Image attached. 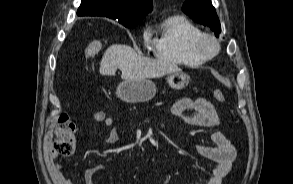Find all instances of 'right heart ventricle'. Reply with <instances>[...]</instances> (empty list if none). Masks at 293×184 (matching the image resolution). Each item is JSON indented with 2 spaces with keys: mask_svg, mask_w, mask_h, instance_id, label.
I'll return each mask as SVG.
<instances>
[{
  "mask_svg": "<svg viewBox=\"0 0 293 184\" xmlns=\"http://www.w3.org/2000/svg\"><path fill=\"white\" fill-rule=\"evenodd\" d=\"M201 30L186 17L172 15L158 26L153 40L154 54L159 60L194 67L204 64L207 59L193 48L194 39Z\"/></svg>",
  "mask_w": 293,
  "mask_h": 184,
  "instance_id": "e07e8e85",
  "label": "right heart ventricle"
}]
</instances>
